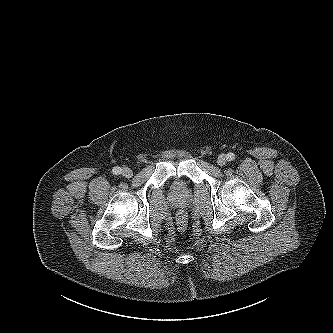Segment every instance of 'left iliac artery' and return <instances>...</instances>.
<instances>
[{
  "label": "left iliac artery",
  "mask_w": 333,
  "mask_h": 333,
  "mask_svg": "<svg viewBox=\"0 0 333 333\" xmlns=\"http://www.w3.org/2000/svg\"><path fill=\"white\" fill-rule=\"evenodd\" d=\"M227 159H228V161H233L235 159V155L233 153H228Z\"/></svg>",
  "instance_id": "obj_1"
}]
</instances>
